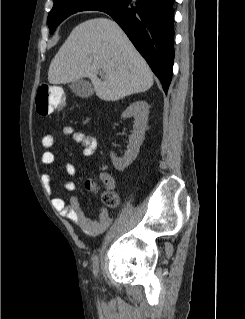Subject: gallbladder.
<instances>
[{
  "label": "gallbladder",
  "mask_w": 245,
  "mask_h": 319,
  "mask_svg": "<svg viewBox=\"0 0 245 319\" xmlns=\"http://www.w3.org/2000/svg\"><path fill=\"white\" fill-rule=\"evenodd\" d=\"M69 88L76 96L81 98H88L94 93L92 85L84 79L71 82Z\"/></svg>",
  "instance_id": "bac80fb5"
}]
</instances>
